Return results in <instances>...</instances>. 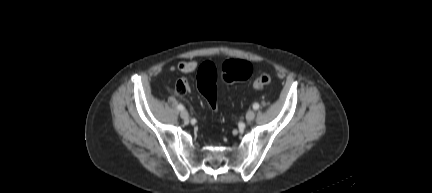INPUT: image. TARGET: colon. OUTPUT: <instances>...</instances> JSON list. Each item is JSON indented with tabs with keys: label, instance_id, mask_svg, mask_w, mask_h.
<instances>
[{
	"label": "colon",
	"instance_id": "5ec220e1",
	"mask_svg": "<svg viewBox=\"0 0 432 193\" xmlns=\"http://www.w3.org/2000/svg\"><path fill=\"white\" fill-rule=\"evenodd\" d=\"M252 66L244 60L231 59L226 61L221 69V78L226 82L244 80L250 77ZM217 70L213 63H203L198 71L197 86L201 94L206 99L212 110L217 107V90H216ZM271 83V76L267 73L258 75L253 81V87L261 89ZM183 92V89H179Z\"/></svg>",
	"mask_w": 432,
	"mask_h": 193
}]
</instances>
